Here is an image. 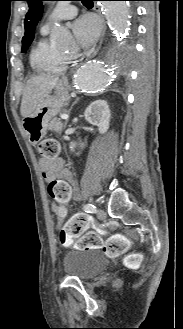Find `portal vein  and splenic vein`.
I'll list each match as a JSON object with an SVG mask.
<instances>
[{
    "instance_id": "portal-vein-and-splenic-vein-1",
    "label": "portal vein and splenic vein",
    "mask_w": 183,
    "mask_h": 329,
    "mask_svg": "<svg viewBox=\"0 0 183 329\" xmlns=\"http://www.w3.org/2000/svg\"><path fill=\"white\" fill-rule=\"evenodd\" d=\"M61 118H62L63 120H67V119L69 118V116H68L67 114H62V115H61Z\"/></svg>"
}]
</instances>
